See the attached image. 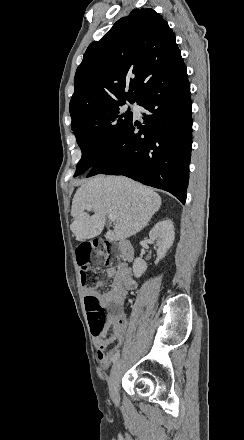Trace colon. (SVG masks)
<instances>
[{
  "instance_id": "colon-1",
  "label": "colon",
  "mask_w": 244,
  "mask_h": 440,
  "mask_svg": "<svg viewBox=\"0 0 244 440\" xmlns=\"http://www.w3.org/2000/svg\"><path fill=\"white\" fill-rule=\"evenodd\" d=\"M122 251L120 248H101V242L98 240L90 241L79 248H75L74 262H78V271L81 274H86L85 286L88 288L86 296V304L83 305V312L86 313L87 319H104L105 312L109 314H122V305H104L103 310H100V305L97 301V287L105 284L103 268L107 264L106 257H111L116 265ZM116 325H123V319L117 318Z\"/></svg>"
}]
</instances>
